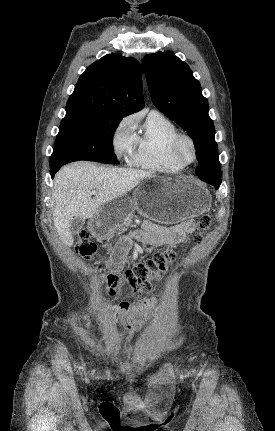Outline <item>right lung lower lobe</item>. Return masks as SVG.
Listing matches in <instances>:
<instances>
[{
  "label": "right lung lower lobe",
  "instance_id": "98d812e1",
  "mask_svg": "<svg viewBox=\"0 0 275 431\" xmlns=\"http://www.w3.org/2000/svg\"><path fill=\"white\" fill-rule=\"evenodd\" d=\"M63 165L62 164H59V165H52L51 166V168H50V174H51V177L53 178L54 177V175H55V173L62 167Z\"/></svg>",
  "mask_w": 275,
  "mask_h": 431
}]
</instances>
